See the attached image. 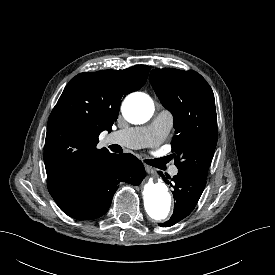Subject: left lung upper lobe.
<instances>
[{
  "mask_svg": "<svg viewBox=\"0 0 275 275\" xmlns=\"http://www.w3.org/2000/svg\"><path fill=\"white\" fill-rule=\"evenodd\" d=\"M150 82L162 105L173 114L176 135L171 145L176 167L207 177L217 143L211 87L197 72L174 68L152 70Z\"/></svg>",
  "mask_w": 275,
  "mask_h": 275,
  "instance_id": "1",
  "label": "left lung upper lobe"
}]
</instances>
